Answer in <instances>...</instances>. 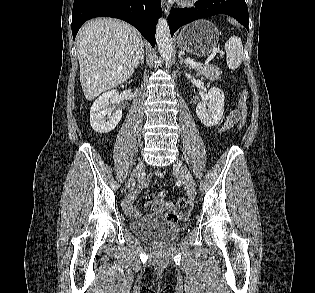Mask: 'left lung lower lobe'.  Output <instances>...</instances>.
Returning a JSON list of instances; mask_svg holds the SVG:
<instances>
[{
	"mask_svg": "<svg viewBox=\"0 0 315 293\" xmlns=\"http://www.w3.org/2000/svg\"><path fill=\"white\" fill-rule=\"evenodd\" d=\"M226 14L248 29V9L245 0H198L192 8H171L169 29L171 36L181 26L194 20Z\"/></svg>",
	"mask_w": 315,
	"mask_h": 293,
	"instance_id": "1",
	"label": "left lung lower lobe"
}]
</instances>
